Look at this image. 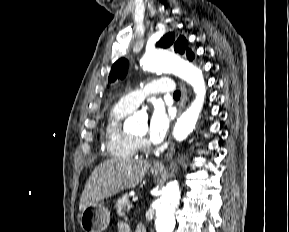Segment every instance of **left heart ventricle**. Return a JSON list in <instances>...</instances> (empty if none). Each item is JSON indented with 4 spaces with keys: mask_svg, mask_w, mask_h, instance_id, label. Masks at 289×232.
<instances>
[{
    "mask_svg": "<svg viewBox=\"0 0 289 232\" xmlns=\"http://www.w3.org/2000/svg\"><path fill=\"white\" fill-rule=\"evenodd\" d=\"M147 133V125L142 124L139 131L137 132L136 136L138 137H144Z\"/></svg>",
    "mask_w": 289,
    "mask_h": 232,
    "instance_id": "b2bd125f",
    "label": "left heart ventricle"
}]
</instances>
